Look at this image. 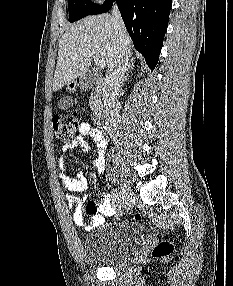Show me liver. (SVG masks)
I'll use <instances>...</instances> for the list:
<instances>
[{
  "instance_id": "1",
  "label": "liver",
  "mask_w": 233,
  "mask_h": 286,
  "mask_svg": "<svg viewBox=\"0 0 233 286\" xmlns=\"http://www.w3.org/2000/svg\"><path fill=\"white\" fill-rule=\"evenodd\" d=\"M122 35L130 55L132 41L125 28ZM117 37L113 16L107 13L87 17L72 26L59 41L53 91L57 92L77 77L85 75L94 56H100L109 71L115 58Z\"/></svg>"
}]
</instances>
